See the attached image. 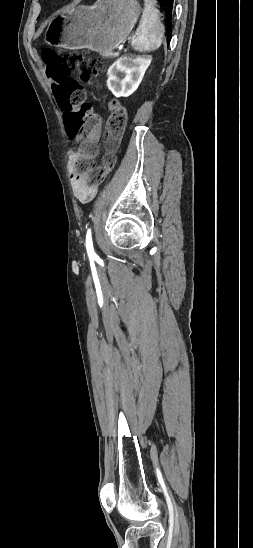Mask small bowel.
<instances>
[{
    "label": "small bowel",
    "mask_w": 253,
    "mask_h": 548,
    "mask_svg": "<svg viewBox=\"0 0 253 548\" xmlns=\"http://www.w3.org/2000/svg\"><path fill=\"white\" fill-rule=\"evenodd\" d=\"M74 138L76 143L80 139L79 136ZM76 143L68 151V169L74 196L80 203L86 204L91 202L97 195L98 185L90 184L83 175H79L74 171V161L78 155Z\"/></svg>",
    "instance_id": "small-bowel-1"
}]
</instances>
